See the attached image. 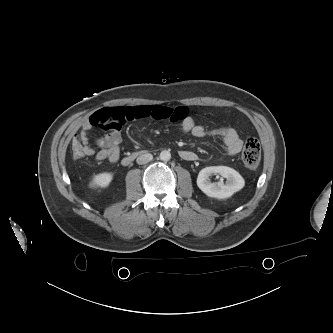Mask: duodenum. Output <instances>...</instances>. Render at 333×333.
Instances as JSON below:
<instances>
[{
  "label": "duodenum",
  "mask_w": 333,
  "mask_h": 333,
  "mask_svg": "<svg viewBox=\"0 0 333 333\" xmlns=\"http://www.w3.org/2000/svg\"><path fill=\"white\" fill-rule=\"evenodd\" d=\"M143 153H145V151H134L132 153H130L129 155L125 156L122 159V164L124 166H128L130 165L139 155H142Z\"/></svg>",
  "instance_id": "410a0bca"
}]
</instances>
